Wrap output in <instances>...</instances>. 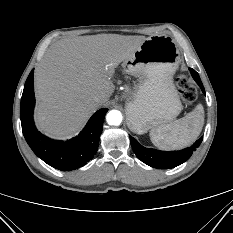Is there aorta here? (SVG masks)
Instances as JSON below:
<instances>
[{
    "instance_id": "aorta-1",
    "label": "aorta",
    "mask_w": 233,
    "mask_h": 233,
    "mask_svg": "<svg viewBox=\"0 0 233 233\" xmlns=\"http://www.w3.org/2000/svg\"><path fill=\"white\" fill-rule=\"evenodd\" d=\"M106 120L109 125H115V126L120 125V123L122 122V114L118 110H111L107 114Z\"/></svg>"
}]
</instances>
